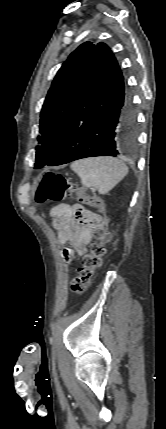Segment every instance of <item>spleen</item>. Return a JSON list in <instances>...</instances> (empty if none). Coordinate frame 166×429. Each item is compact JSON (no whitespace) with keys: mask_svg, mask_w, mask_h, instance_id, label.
Wrapping results in <instances>:
<instances>
[{"mask_svg":"<svg viewBox=\"0 0 166 429\" xmlns=\"http://www.w3.org/2000/svg\"><path fill=\"white\" fill-rule=\"evenodd\" d=\"M71 169L85 188L95 187L102 195L112 190L128 173L124 162L111 157L78 160L71 164Z\"/></svg>","mask_w":166,"mask_h":429,"instance_id":"1","label":"spleen"}]
</instances>
